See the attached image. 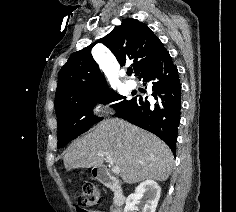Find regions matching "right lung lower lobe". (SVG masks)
<instances>
[{"label":"right lung lower lobe","mask_w":236,"mask_h":212,"mask_svg":"<svg viewBox=\"0 0 236 212\" xmlns=\"http://www.w3.org/2000/svg\"><path fill=\"white\" fill-rule=\"evenodd\" d=\"M138 79L152 84L155 101L135 97L117 110L116 116L148 130L161 138L175 155L177 129L180 122L181 84L178 70L169 52L162 46L144 68Z\"/></svg>","instance_id":"obj_1"}]
</instances>
